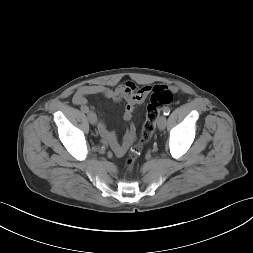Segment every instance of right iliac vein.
Segmentation results:
<instances>
[{
  "label": "right iliac vein",
  "instance_id": "1",
  "mask_svg": "<svg viewBox=\"0 0 253 253\" xmlns=\"http://www.w3.org/2000/svg\"><path fill=\"white\" fill-rule=\"evenodd\" d=\"M87 116H88L89 122H90L92 125H95L96 122H97V116H96V114H95L94 112H92V111H89V112L87 113Z\"/></svg>",
  "mask_w": 253,
  "mask_h": 253
}]
</instances>
